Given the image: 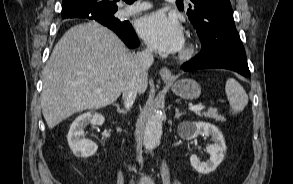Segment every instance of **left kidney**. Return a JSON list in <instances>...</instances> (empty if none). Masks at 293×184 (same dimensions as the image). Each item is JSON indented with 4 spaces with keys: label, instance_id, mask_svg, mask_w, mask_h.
I'll return each instance as SVG.
<instances>
[{
    "label": "left kidney",
    "instance_id": "obj_1",
    "mask_svg": "<svg viewBox=\"0 0 293 184\" xmlns=\"http://www.w3.org/2000/svg\"><path fill=\"white\" fill-rule=\"evenodd\" d=\"M199 134H204L205 136L210 135L214 141V144L207 148L210 159L206 162H201L196 155H192L190 157V162L192 167L199 173L209 174L213 172L224 159L226 153L225 140L217 127L205 122H192L185 131L180 133L185 139H193Z\"/></svg>",
    "mask_w": 293,
    "mask_h": 184
}]
</instances>
